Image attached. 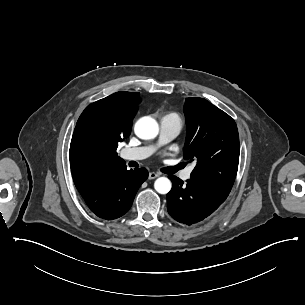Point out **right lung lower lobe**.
<instances>
[{"label": "right lung lower lobe", "mask_w": 305, "mask_h": 305, "mask_svg": "<svg viewBox=\"0 0 305 305\" xmlns=\"http://www.w3.org/2000/svg\"><path fill=\"white\" fill-rule=\"evenodd\" d=\"M147 178L148 171L145 168L127 170L121 167L109 171L79 192L95 215L113 220L130 209L136 192Z\"/></svg>", "instance_id": "1"}]
</instances>
